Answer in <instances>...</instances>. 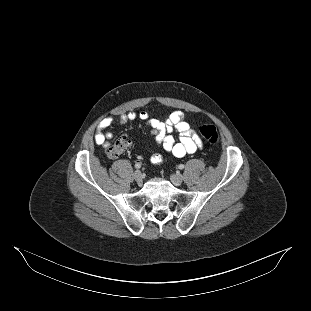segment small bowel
Instances as JSON below:
<instances>
[{
  "instance_id": "1",
  "label": "small bowel",
  "mask_w": 311,
  "mask_h": 311,
  "mask_svg": "<svg viewBox=\"0 0 311 311\" xmlns=\"http://www.w3.org/2000/svg\"><path fill=\"white\" fill-rule=\"evenodd\" d=\"M141 119L151 127L152 133L155 136L156 143L168 154L175 158H183L187 154L196 152L202 146L201 139L196 131L185 120V116L181 111H173L169 113L163 120L151 118L146 112L136 114L129 112L123 114L119 118L120 124H125L128 121ZM113 119L111 117L104 118L97 126L95 134V142L100 146H106L112 137L110 132H105L111 127ZM177 132L180 135L178 142L172 136V132ZM162 161L160 154H154L151 157V162L159 164Z\"/></svg>"
}]
</instances>
